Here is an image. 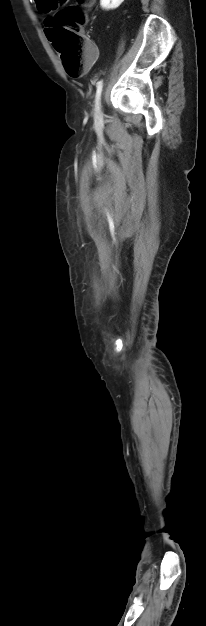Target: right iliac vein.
Segmentation results:
<instances>
[{
  "instance_id": "obj_1",
  "label": "right iliac vein",
  "mask_w": 206,
  "mask_h": 626,
  "mask_svg": "<svg viewBox=\"0 0 206 626\" xmlns=\"http://www.w3.org/2000/svg\"><path fill=\"white\" fill-rule=\"evenodd\" d=\"M95 118H96V120H100L102 118V106H101V103H99L98 106L96 107Z\"/></svg>"
}]
</instances>
